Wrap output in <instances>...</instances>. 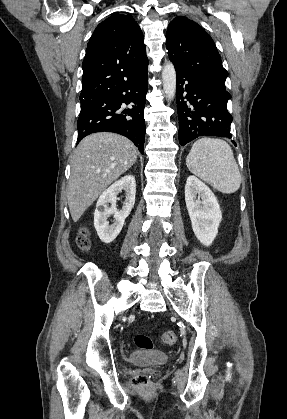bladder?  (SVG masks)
Returning a JSON list of instances; mask_svg holds the SVG:
<instances>
[{
    "label": "bladder",
    "instance_id": "obj_1",
    "mask_svg": "<svg viewBox=\"0 0 287 419\" xmlns=\"http://www.w3.org/2000/svg\"><path fill=\"white\" fill-rule=\"evenodd\" d=\"M168 355L156 351L134 350L129 355V361L137 365H161L167 363Z\"/></svg>",
    "mask_w": 287,
    "mask_h": 419
}]
</instances>
